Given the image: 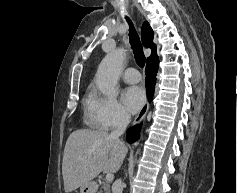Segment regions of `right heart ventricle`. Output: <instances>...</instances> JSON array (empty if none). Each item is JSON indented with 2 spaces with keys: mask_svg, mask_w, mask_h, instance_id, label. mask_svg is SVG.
Returning <instances> with one entry per match:
<instances>
[{
  "mask_svg": "<svg viewBox=\"0 0 237 193\" xmlns=\"http://www.w3.org/2000/svg\"><path fill=\"white\" fill-rule=\"evenodd\" d=\"M92 101H93V93L89 92L86 95L85 100H84L85 109H86V118L92 126H95L93 114H92V111H91Z\"/></svg>",
  "mask_w": 237,
  "mask_h": 193,
  "instance_id": "obj_1",
  "label": "right heart ventricle"
}]
</instances>
